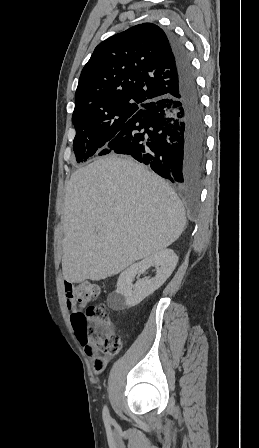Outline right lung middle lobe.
<instances>
[{"mask_svg":"<svg viewBox=\"0 0 259 448\" xmlns=\"http://www.w3.org/2000/svg\"><path fill=\"white\" fill-rule=\"evenodd\" d=\"M143 110L144 106H131L109 112L73 115L72 122L76 129L73 149L77 162H84L93 155L107 154L108 143L134 115L138 116Z\"/></svg>","mask_w":259,"mask_h":448,"instance_id":"1","label":"right lung middle lobe"}]
</instances>
